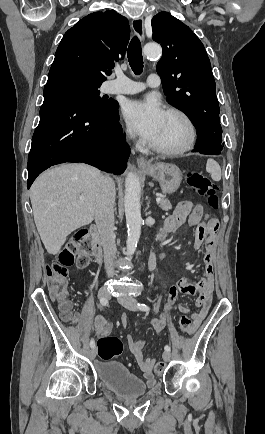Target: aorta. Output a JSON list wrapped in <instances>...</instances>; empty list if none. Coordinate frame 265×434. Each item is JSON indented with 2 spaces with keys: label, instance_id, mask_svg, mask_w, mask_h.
<instances>
[{
  "label": "aorta",
  "instance_id": "obj_1",
  "mask_svg": "<svg viewBox=\"0 0 265 434\" xmlns=\"http://www.w3.org/2000/svg\"><path fill=\"white\" fill-rule=\"evenodd\" d=\"M144 56H149V58H154L161 54V48L157 44H146L143 48ZM140 182L139 178L133 174V172H128L125 180V196H124V208L127 224V256H133L137 244L139 242L141 234V212H140Z\"/></svg>",
  "mask_w": 265,
  "mask_h": 434
}]
</instances>
